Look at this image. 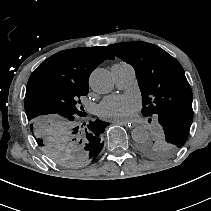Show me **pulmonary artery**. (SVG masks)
I'll return each mask as SVG.
<instances>
[{"instance_id":"pulmonary-artery-1","label":"pulmonary artery","mask_w":211,"mask_h":211,"mask_svg":"<svg viewBox=\"0 0 211 211\" xmlns=\"http://www.w3.org/2000/svg\"><path fill=\"white\" fill-rule=\"evenodd\" d=\"M115 77L116 84L119 88H127L136 80V73L133 66L127 63H117L111 67Z\"/></svg>"}]
</instances>
